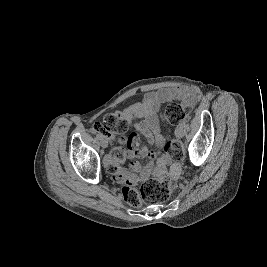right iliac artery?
I'll list each match as a JSON object with an SVG mask.
<instances>
[{"instance_id":"1","label":"right iliac artery","mask_w":267,"mask_h":267,"mask_svg":"<svg viewBox=\"0 0 267 267\" xmlns=\"http://www.w3.org/2000/svg\"><path fill=\"white\" fill-rule=\"evenodd\" d=\"M96 137L100 140L102 138V135L97 134Z\"/></svg>"}]
</instances>
